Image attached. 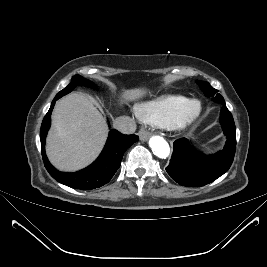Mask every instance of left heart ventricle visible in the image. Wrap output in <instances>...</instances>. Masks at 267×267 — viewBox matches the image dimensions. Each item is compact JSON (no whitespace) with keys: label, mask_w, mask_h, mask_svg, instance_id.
Masks as SVG:
<instances>
[{"label":"left heart ventricle","mask_w":267,"mask_h":267,"mask_svg":"<svg viewBox=\"0 0 267 267\" xmlns=\"http://www.w3.org/2000/svg\"><path fill=\"white\" fill-rule=\"evenodd\" d=\"M195 109H196V105H193L192 108H191V110L193 111Z\"/></svg>","instance_id":"b2bd125f"}]
</instances>
